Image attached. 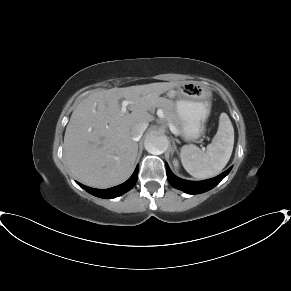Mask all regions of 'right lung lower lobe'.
<instances>
[{
    "label": "right lung lower lobe",
    "instance_id": "98d812e1",
    "mask_svg": "<svg viewBox=\"0 0 291 291\" xmlns=\"http://www.w3.org/2000/svg\"><path fill=\"white\" fill-rule=\"evenodd\" d=\"M137 177H138V166L136 167L133 175L126 182H124L123 184H120L118 186L109 188V189H104V190L94 189V188H90V187H87L85 185H82L78 182L77 183L80 187H82L88 193H90L94 196H97L100 198L110 199V198L118 197V196L124 194L125 192L129 191L135 185V183L137 181Z\"/></svg>",
    "mask_w": 291,
    "mask_h": 291
}]
</instances>
